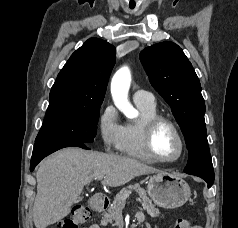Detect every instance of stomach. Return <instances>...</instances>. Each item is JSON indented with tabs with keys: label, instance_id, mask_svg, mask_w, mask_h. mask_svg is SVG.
I'll return each instance as SVG.
<instances>
[{
	"label": "stomach",
	"instance_id": "obj_1",
	"mask_svg": "<svg viewBox=\"0 0 238 228\" xmlns=\"http://www.w3.org/2000/svg\"><path fill=\"white\" fill-rule=\"evenodd\" d=\"M147 193L156 205L165 209L181 207L191 196L188 183L170 172H157L151 176Z\"/></svg>",
	"mask_w": 238,
	"mask_h": 228
}]
</instances>
